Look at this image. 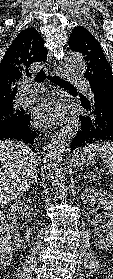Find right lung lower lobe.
<instances>
[{"mask_svg":"<svg viewBox=\"0 0 113 279\" xmlns=\"http://www.w3.org/2000/svg\"><path fill=\"white\" fill-rule=\"evenodd\" d=\"M30 115H25L19 123L0 126V139H14L33 147L39 132L30 127Z\"/></svg>","mask_w":113,"mask_h":279,"instance_id":"obj_1","label":"right lung lower lobe"}]
</instances>
